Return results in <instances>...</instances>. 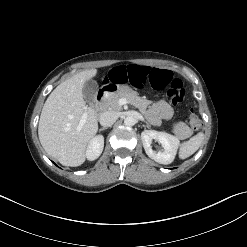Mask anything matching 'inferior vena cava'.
Wrapping results in <instances>:
<instances>
[{"instance_id": "inferior-vena-cava-1", "label": "inferior vena cava", "mask_w": 247, "mask_h": 247, "mask_svg": "<svg viewBox=\"0 0 247 247\" xmlns=\"http://www.w3.org/2000/svg\"><path fill=\"white\" fill-rule=\"evenodd\" d=\"M117 120V114L114 111H105L100 115V124L103 127H109Z\"/></svg>"}]
</instances>
